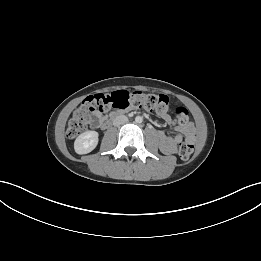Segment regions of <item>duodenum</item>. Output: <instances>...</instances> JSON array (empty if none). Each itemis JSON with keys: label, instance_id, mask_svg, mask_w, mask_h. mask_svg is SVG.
<instances>
[{"label": "duodenum", "instance_id": "1", "mask_svg": "<svg viewBox=\"0 0 261 261\" xmlns=\"http://www.w3.org/2000/svg\"><path fill=\"white\" fill-rule=\"evenodd\" d=\"M120 117H121V114H120V113H118V112H113V113L111 114L110 118L107 119V120H105V121L102 123V128H103V129L108 128V127L112 124V122H113L114 120H116V119H118V118H120Z\"/></svg>", "mask_w": 261, "mask_h": 261}]
</instances>
